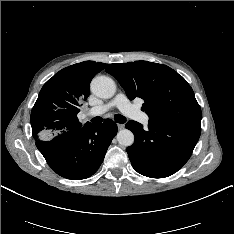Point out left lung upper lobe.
Wrapping results in <instances>:
<instances>
[{
    "instance_id": "left-lung-upper-lobe-1",
    "label": "left lung upper lobe",
    "mask_w": 234,
    "mask_h": 234,
    "mask_svg": "<svg viewBox=\"0 0 234 234\" xmlns=\"http://www.w3.org/2000/svg\"><path fill=\"white\" fill-rule=\"evenodd\" d=\"M106 72L128 98H142L150 123H201V109L186 80L170 67L148 61L110 64Z\"/></svg>"
}]
</instances>
